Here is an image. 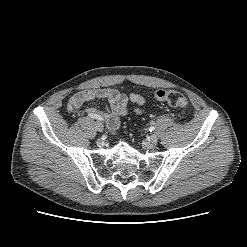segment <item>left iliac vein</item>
<instances>
[{"label": "left iliac vein", "instance_id": "obj_1", "mask_svg": "<svg viewBox=\"0 0 247 247\" xmlns=\"http://www.w3.org/2000/svg\"><path fill=\"white\" fill-rule=\"evenodd\" d=\"M157 141H158L157 135L152 134V135L150 136V142L153 143V144H155V143H157Z\"/></svg>", "mask_w": 247, "mask_h": 247}]
</instances>
